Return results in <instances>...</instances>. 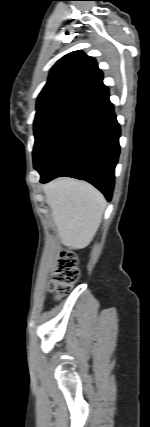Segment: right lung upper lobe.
Wrapping results in <instances>:
<instances>
[{"label": "right lung upper lobe", "mask_w": 150, "mask_h": 427, "mask_svg": "<svg viewBox=\"0 0 150 427\" xmlns=\"http://www.w3.org/2000/svg\"><path fill=\"white\" fill-rule=\"evenodd\" d=\"M103 74L93 57L71 52L52 67L48 81L37 98V111L50 107L83 109L106 93Z\"/></svg>", "instance_id": "1"}]
</instances>
